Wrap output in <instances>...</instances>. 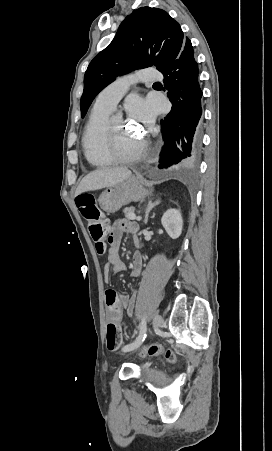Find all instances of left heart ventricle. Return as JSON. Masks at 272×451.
<instances>
[{
  "label": "left heart ventricle",
  "instance_id": "1",
  "mask_svg": "<svg viewBox=\"0 0 272 451\" xmlns=\"http://www.w3.org/2000/svg\"><path fill=\"white\" fill-rule=\"evenodd\" d=\"M125 121L121 118H113L112 120V131L115 139V143L121 149H127L131 145L135 137L129 132L124 130Z\"/></svg>",
  "mask_w": 272,
  "mask_h": 451
}]
</instances>
